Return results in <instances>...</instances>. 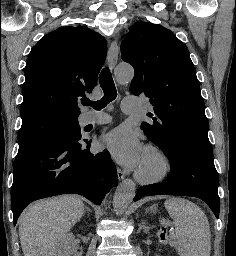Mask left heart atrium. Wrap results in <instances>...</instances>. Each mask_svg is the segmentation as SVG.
Segmentation results:
<instances>
[{"mask_svg":"<svg viewBox=\"0 0 236 256\" xmlns=\"http://www.w3.org/2000/svg\"><path fill=\"white\" fill-rule=\"evenodd\" d=\"M101 145L117 163L128 168L138 167L145 152L139 135L126 126H120L106 134Z\"/></svg>","mask_w":236,"mask_h":256,"instance_id":"obj_1","label":"left heart atrium"}]
</instances>
